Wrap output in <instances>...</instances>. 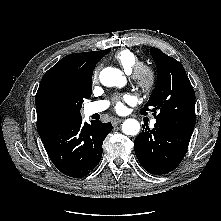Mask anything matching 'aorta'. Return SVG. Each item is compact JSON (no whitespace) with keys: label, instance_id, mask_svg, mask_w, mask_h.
<instances>
[{"label":"aorta","instance_id":"obj_1","mask_svg":"<svg viewBox=\"0 0 221 221\" xmlns=\"http://www.w3.org/2000/svg\"><path fill=\"white\" fill-rule=\"evenodd\" d=\"M100 82L107 87H122L125 84V77L116 68H104L99 75ZM140 131V124L135 119H127L122 124V132L127 135H136Z\"/></svg>","mask_w":221,"mask_h":221}]
</instances>
